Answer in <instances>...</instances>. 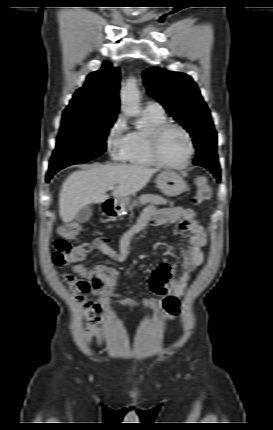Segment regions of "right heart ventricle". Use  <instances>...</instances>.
<instances>
[{
  "mask_svg": "<svg viewBox=\"0 0 273 430\" xmlns=\"http://www.w3.org/2000/svg\"><path fill=\"white\" fill-rule=\"evenodd\" d=\"M143 120L146 128L130 133L131 144L125 161L136 167H152L156 164L150 154L149 135L154 127L165 122V115L145 110Z\"/></svg>",
  "mask_w": 273,
  "mask_h": 430,
  "instance_id": "right-heart-ventricle-1",
  "label": "right heart ventricle"
}]
</instances>
